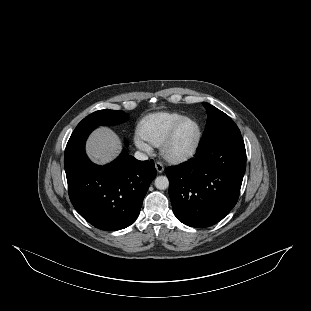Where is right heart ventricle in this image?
<instances>
[{"mask_svg": "<svg viewBox=\"0 0 311 311\" xmlns=\"http://www.w3.org/2000/svg\"><path fill=\"white\" fill-rule=\"evenodd\" d=\"M187 116L179 112L160 111L144 116L136 125V134L144 142L158 147L173 127Z\"/></svg>", "mask_w": 311, "mask_h": 311, "instance_id": "right-heart-ventricle-1", "label": "right heart ventricle"}]
</instances>
